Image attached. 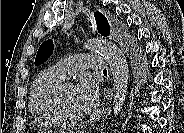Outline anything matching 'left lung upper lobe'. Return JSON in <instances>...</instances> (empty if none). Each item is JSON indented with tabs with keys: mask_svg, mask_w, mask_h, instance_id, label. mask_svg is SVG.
Masks as SVG:
<instances>
[{
	"mask_svg": "<svg viewBox=\"0 0 184 133\" xmlns=\"http://www.w3.org/2000/svg\"><path fill=\"white\" fill-rule=\"evenodd\" d=\"M94 17L96 19L98 32L105 37L109 36L110 35V25H109L107 18L100 12H95ZM112 25H113L112 33L121 36L122 29H120V26L114 25L113 23ZM53 49H54V45H53L52 40H47L43 42L38 49V52L35 58V66H38L44 63L53 53ZM128 53L131 58V64L133 67V71L137 73L138 68H139L138 52L131 45H129Z\"/></svg>",
	"mask_w": 184,
	"mask_h": 133,
	"instance_id": "left-lung-upper-lobe-1",
	"label": "left lung upper lobe"
}]
</instances>
